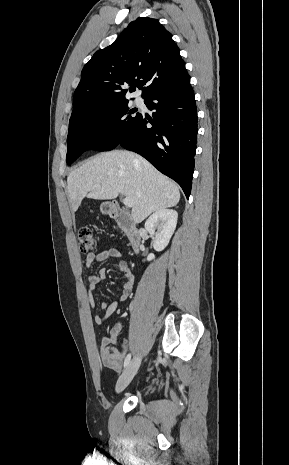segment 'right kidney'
I'll list each match as a JSON object with an SVG mask.
<instances>
[{"instance_id": "ca27d5eb", "label": "right kidney", "mask_w": 289, "mask_h": 465, "mask_svg": "<svg viewBox=\"0 0 289 465\" xmlns=\"http://www.w3.org/2000/svg\"><path fill=\"white\" fill-rule=\"evenodd\" d=\"M178 213L172 209H160L154 212L145 222V229L155 236L153 247L162 251L168 245L176 228ZM155 258L154 254L147 256V261Z\"/></svg>"}]
</instances>
